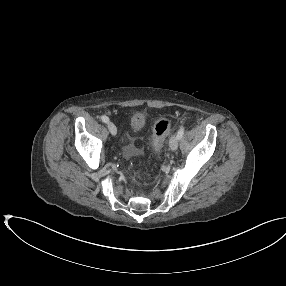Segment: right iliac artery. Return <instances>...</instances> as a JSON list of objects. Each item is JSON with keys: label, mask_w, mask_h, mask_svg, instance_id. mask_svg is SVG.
Listing matches in <instances>:
<instances>
[{"label": "right iliac artery", "mask_w": 286, "mask_h": 286, "mask_svg": "<svg viewBox=\"0 0 286 286\" xmlns=\"http://www.w3.org/2000/svg\"><path fill=\"white\" fill-rule=\"evenodd\" d=\"M101 120L105 123H107L109 121V118L105 115L101 116Z\"/></svg>", "instance_id": "82829eb1"}]
</instances>
